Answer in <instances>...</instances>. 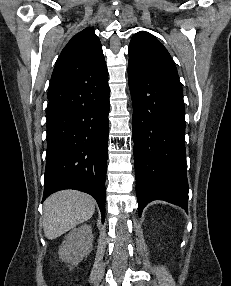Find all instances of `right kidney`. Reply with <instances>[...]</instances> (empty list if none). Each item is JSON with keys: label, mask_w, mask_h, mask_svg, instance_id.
Returning a JSON list of instances; mask_svg holds the SVG:
<instances>
[{"label": "right kidney", "mask_w": 231, "mask_h": 286, "mask_svg": "<svg viewBox=\"0 0 231 286\" xmlns=\"http://www.w3.org/2000/svg\"><path fill=\"white\" fill-rule=\"evenodd\" d=\"M93 234L91 226L84 224L73 229L59 248V258L71 265H78L92 251Z\"/></svg>", "instance_id": "obj_1"}]
</instances>
